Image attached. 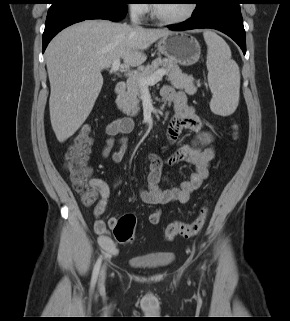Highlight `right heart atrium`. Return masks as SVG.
Here are the masks:
<instances>
[{
  "mask_svg": "<svg viewBox=\"0 0 290 321\" xmlns=\"http://www.w3.org/2000/svg\"><path fill=\"white\" fill-rule=\"evenodd\" d=\"M128 7L131 14L137 18L144 17L148 11L146 0H132Z\"/></svg>",
  "mask_w": 290,
  "mask_h": 321,
  "instance_id": "obj_1",
  "label": "right heart atrium"
}]
</instances>
